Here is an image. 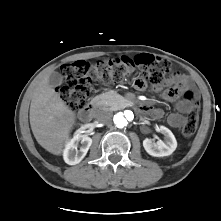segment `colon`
<instances>
[{"label": "colon", "instance_id": "1", "mask_svg": "<svg viewBox=\"0 0 221 221\" xmlns=\"http://www.w3.org/2000/svg\"><path fill=\"white\" fill-rule=\"evenodd\" d=\"M134 68H138L143 74V80L137 84L140 88L146 84L160 86L172 73L169 61L149 54H142L134 59H102L94 63L79 60L62 67V85L59 87V96L71 110H85L93 81L120 79ZM183 97L192 105L182 129L183 136L189 138L197 129L199 102L196 93L191 89L185 90Z\"/></svg>", "mask_w": 221, "mask_h": 221}]
</instances>
